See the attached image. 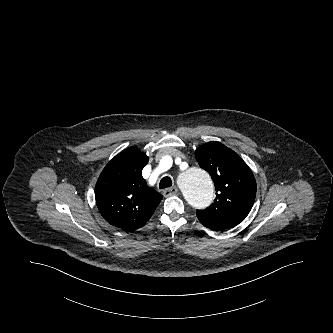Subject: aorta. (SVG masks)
Returning <instances> with one entry per match:
<instances>
[{
	"instance_id": "obj_1",
	"label": "aorta",
	"mask_w": 333,
	"mask_h": 333,
	"mask_svg": "<svg viewBox=\"0 0 333 333\" xmlns=\"http://www.w3.org/2000/svg\"><path fill=\"white\" fill-rule=\"evenodd\" d=\"M180 176L184 178L179 180L180 190L188 204L195 209L208 207L214 199V185L209 174L190 165Z\"/></svg>"
}]
</instances>
